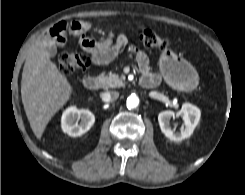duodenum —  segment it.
<instances>
[{"label":"duodenum","mask_w":245,"mask_h":195,"mask_svg":"<svg viewBox=\"0 0 245 195\" xmlns=\"http://www.w3.org/2000/svg\"><path fill=\"white\" fill-rule=\"evenodd\" d=\"M83 83L85 88L91 91L99 89L101 85L100 79L92 75L85 77ZM140 84L144 88L152 89L159 85V78L150 74H142L140 78Z\"/></svg>","instance_id":"obj_1"}]
</instances>
